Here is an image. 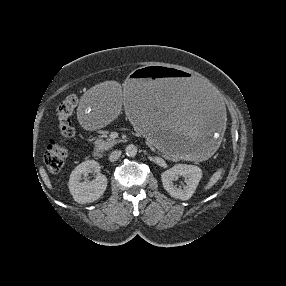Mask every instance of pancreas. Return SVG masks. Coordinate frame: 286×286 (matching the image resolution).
<instances>
[{
	"label": "pancreas",
	"mask_w": 286,
	"mask_h": 286,
	"mask_svg": "<svg viewBox=\"0 0 286 286\" xmlns=\"http://www.w3.org/2000/svg\"><path fill=\"white\" fill-rule=\"evenodd\" d=\"M118 142H120V140L112 139V138H107L106 140L98 139L94 142V145H95L96 149L104 151V150H109ZM165 157L167 159H170V157H168V156H165Z\"/></svg>",
	"instance_id": "cf45deb5"
}]
</instances>
